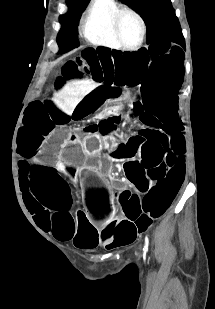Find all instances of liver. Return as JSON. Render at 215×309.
I'll return each mask as SVG.
<instances>
[{
  "instance_id": "liver-1",
  "label": "liver",
  "mask_w": 215,
  "mask_h": 309,
  "mask_svg": "<svg viewBox=\"0 0 215 309\" xmlns=\"http://www.w3.org/2000/svg\"><path fill=\"white\" fill-rule=\"evenodd\" d=\"M96 86H99V82H95L88 76L86 78H72V80H67L58 92H54L53 100L66 114H72L78 102Z\"/></svg>"
}]
</instances>
